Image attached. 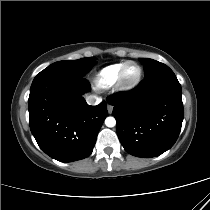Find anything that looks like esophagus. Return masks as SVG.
Returning <instances> with one entry per match:
<instances>
[{
  "label": "esophagus",
  "instance_id": "1",
  "mask_svg": "<svg viewBox=\"0 0 210 210\" xmlns=\"http://www.w3.org/2000/svg\"><path fill=\"white\" fill-rule=\"evenodd\" d=\"M107 110H108L109 114H111L112 111H113V105L108 104V105H107Z\"/></svg>",
  "mask_w": 210,
  "mask_h": 210
}]
</instances>
